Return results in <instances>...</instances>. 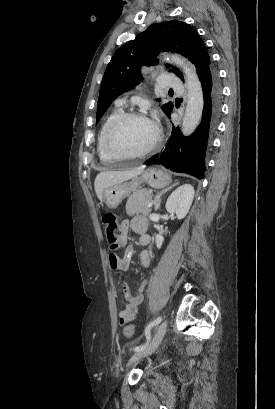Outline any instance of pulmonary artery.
<instances>
[{"mask_svg": "<svg viewBox=\"0 0 275 409\" xmlns=\"http://www.w3.org/2000/svg\"><path fill=\"white\" fill-rule=\"evenodd\" d=\"M156 88H180L181 81L177 79L176 73H165L162 77L158 76L154 81ZM125 104V98H119L116 101L117 106H123Z\"/></svg>", "mask_w": 275, "mask_h": 409, "instance_id": "pulmonary-artery-1", "label": "pulmonary artery"}]
</instances>
